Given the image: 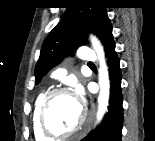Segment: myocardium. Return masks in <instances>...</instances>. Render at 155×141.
Masks as SVG:
<instances>
[{
    "instance_id": "1",
    "label": "myocardium",
    "mask_w": 155,
    "mask_h": 141,
    "mask_svg": "<svg viewBox=\"0 0 155 141\" xmlns=\"http://www.w3.org/2000/svg\"><path fill=\"white\" fill-rule=\"evenodd\" d=\"M69 90L67 88L58 87L53 88L46 92L41 100L39 109H38V125L40 131L47 137V138H68L78 134L80 131L84 130L88 124L89 119L87 117L86 110L82 109V119L81 122L72 130L67 132H56L50 129L47 124V111L50 104V101L53 97L60 95V94H69Z\"/></svg>"
}]
</instances>
